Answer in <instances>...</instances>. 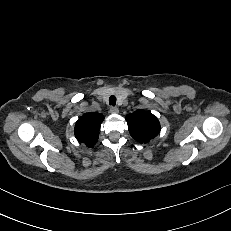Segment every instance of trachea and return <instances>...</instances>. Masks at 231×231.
I'll use <instances>...</instances> for the list:
<instances>
[{
    "label": "trachea",
    "mask_w": 231,
    "mask_h": 231,
    "mask_svg": "<svg viewBox=\"0 0 231 231\" xmlns=\"http://www.w3.org/2000/svg\"><path fill=\"white\" fill-rule=\"evenodd\" d=\"M109 104L112 105V106L116 105V97L114 95L110 96Z\"/></svg>",
    "instance_id": "trachea-1"
}]
</instances>
